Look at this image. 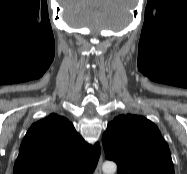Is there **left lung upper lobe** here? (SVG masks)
<instances>
[{
  "label": "left lung upper lobe",
  "mask_w": 187,
  "mask_h": 174,
  "mask_svg": "<svg viewBox=\"0 0 187 174\" xmlns=\"http://www.w3.org/2000/svg\"><path fill=\"white\" fill-rule=\"evenodd\" d=\"M106 159L115 161L118 174H174L168 144L150 120L120 115L102 136Z\"/></svg>",
  "instance_id": "5c2ea615"
}]
</instances>
